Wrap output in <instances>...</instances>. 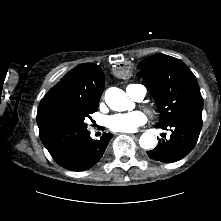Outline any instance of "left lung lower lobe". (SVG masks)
Listing matches in <instances>:
<instances>
[{"label": "left lung lower lobe", "instance_id": "0a47b994", "mask_svg": "<svg viewBox=\"0 0 221 221\" xmlns=\"http://www.w3.org/2000/svg\"><path fill=\"white\" fill-rule=\"evenodd\" d=\"M159 128H171L170 139L162 134L155 149L147 152L148 156L156 161L173 163L183 159L192 151L197 143L202 129V111H194L182 116L173 118L165 125H158ZM170 149V151H167Z\"/></svg>", "mask_w": 221, "mask_h": 221}]
</instances>
